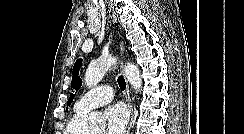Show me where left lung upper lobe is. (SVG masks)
Segmentation results:
<instances>
[{"mask_svg":"<svg viewBox=\"0 0 244 134\" xmlns=\"http://www.w3.org/2000/svg\"><path fill=\"white\" fill-rule=\"evenodd\" d=\"M81 64H82L81 59H78L73 67V76H72V83H71L72 93L70 95V98L68 99V103H67L68 105L72 103L75 93L82 85V80L78 76Z\"/></svg>","mask_w":244,"mask_h":134,"instance_id":"obj_1","label":"left lung upper lobe"}]
</instances>
